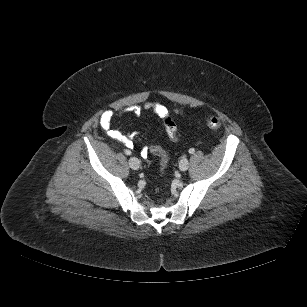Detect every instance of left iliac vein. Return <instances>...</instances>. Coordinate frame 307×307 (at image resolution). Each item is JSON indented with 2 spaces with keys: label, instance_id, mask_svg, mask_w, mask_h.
Instances as JSON below:
<instances>
[{
  "label": "left iliac vein",
  "instance_id": "obj_1",
  "mask_svg": "<svg viewBox=\"0 0 307 307\" xmlns=\"http://www.w3.org/2000/svg\"><path fill=\"white\" fill-rule=\"evenodd\" d=\"M188 167H189V161H188V159L187 158H182L181 160H180V162H179V169L181 170V171H186L187 169H188Z\"/></svg>",
  "mask_w": 307,
  "mask_h": 307
}]
</instances>
